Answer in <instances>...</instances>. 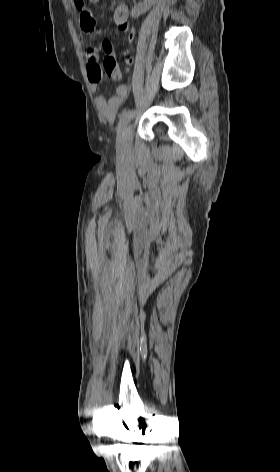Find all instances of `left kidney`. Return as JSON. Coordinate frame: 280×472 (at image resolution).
Masks as SVG:
<instances>
[{
    "label": "left kidney",
    "instance_id": "1",
    "mask_svg": "<svg viewBox=\"0 0 280 472\" xmlns=\"http://www.w3.org/2000/svg\"><path fill=\"white\" fill-rule=\"evenodd\" d=\"M155 0H144L143 3L135 5L131 11L132 17H138L140 14L145 13L154 4Z\"/></svg>",
    "mask_w": 280,
    "mask_h": 472
}]
</instances>
